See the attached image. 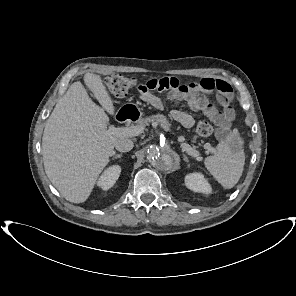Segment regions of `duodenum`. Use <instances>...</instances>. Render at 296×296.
Listing matches in <instances>:
<instances>
[{
	"mask_svg": "<svg viewBox=\"0 0 296 296\" xmlns=\"http://www.w3.org/2000/svg\"><path fill=\"white\" fill-rule=\"evenodd\" d=\"M139 116V113L134 108H126L121 111H119L116 115V118L119 121L122 122H128V121H135Z\"/></svg>",
	"mask_w": 296,
	"mask_h": 296,
	"instance_id": "410a0bca",
	"label": "duodenum"
}]
</instances>
